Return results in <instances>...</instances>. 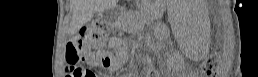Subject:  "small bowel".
<instances>
[{"label": "small bowel", "instance_id": "c3829d8e", "mask_svg": "<svg viewBox=\"0 0 258 77\" xmlns=\"http://www.w3.org/2000/svg\"><path fill=\"white\" fill-rule=\"evenodd\" d=\"M82 52L87 64L91 66H100L107 70L114 69V56L111 52L91 53L85 46H82ZM92 74L93 73L91 72H87L86 76L94 77Z\"/></svg>", "mask_w": 258, "mask_h": 77}]
</instances>
